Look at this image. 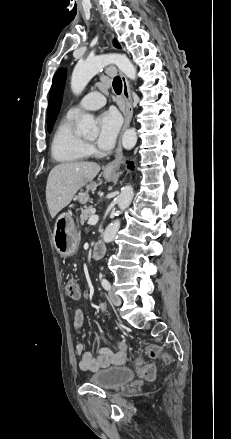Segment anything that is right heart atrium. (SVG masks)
Here are the masks:
<instances>
[{"label":"right heart atrium","instance_id":"1","mask_svg":"<svg viewBox=\"0 0 231 439\" xmlns=\"http://www.w3.org/2000/svg\"><path fill=\"white\" fill-rule=\"evenodd\" d=\"M89 151H92V147L91 146H87Z\"/></svg>","mask_w":231,"mask_h":439}]
</instances>
